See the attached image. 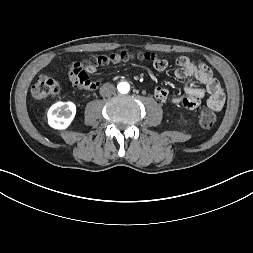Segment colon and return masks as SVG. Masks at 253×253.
<instances>
[{
	"label": "colon",
	"instance_id": "colon-1",
	"mask_svg": "<svg viewBox=\"0 0 253 253\" xmlns=\"http://www.w3.org/2000/svg\"><path fill=\"white\" fill-rule=\"evenodd\" d=\"M133 59L154 61L160 59L154 53H139L134 55L129 52L113 53L108 55H97L80 62H73L68 73L69 88L73 92L85 90H97L100 87V80L96 76H91L98 68L126 62ZM61 91L59 83L48 75H39L31 87V95L36 100H44L57 96ZM201 125L205 128L213 127L217 122V114L211 107H205L200 114Z\"/></svg>",
	"mask_w": 253,
	"mask_h": 253
}]
</instances>
